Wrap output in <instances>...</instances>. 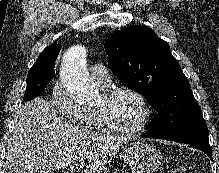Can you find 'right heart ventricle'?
<instances>
[{"instance_id":"1","label":"right heart ventricle","mask_w":219,"mask_h":173,"mask_svg":"<svg viewBox=\"0 0 219 173\" xmlns=\"http://www.w3.org/2000/svg\"><path fill=\"white\" fill-rule=\"evenodd\" d=\"M102 87V86H101ZM105 88V87H102ZM85 115V121L83 126L90 130H95V131H105L106 129L102 125L97 112L95 110H89L84 112Z\"/></svg>"}]
</instances>
